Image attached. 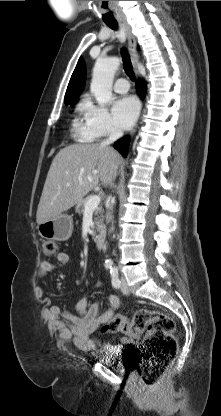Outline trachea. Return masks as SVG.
Returning a JSON list of instances; mask_svg holds the SVG:
<instances>
[{"label":"trachea","instance_id":"obj_1","mask_svg":"<svg viewBox=\"0 0 221 416\" xmlns=\"http://www.w3.org/2000/svg\"><path fill=\"white\" fill-rule=\"evenodd\" d=\"M107 26H109L111 29L116 30L118 28V25L116 22L113 23H106ZM122 59H123V66L126 74L129 76V78L134 81L135 80V74L133 71L132 63L130 60V55L126 51V49L121 50Z\"/></svg>","mask_w":221,"mask_h":416}]
</instances>
